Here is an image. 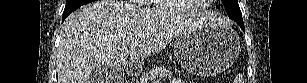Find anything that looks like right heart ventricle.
Here are the masks:
<instances>
[{"instance_id": "right-heart-ventricle-1", "label": "right heart ventricle", "mask_w": 307, "mask_h": 83, "mask_svg": "<svg viewBox=\"0 0 307 83\" xmlns=\"http://www.w3.org/2000/svg\"><path fill=\"white\" fill-rule=\"evenodd\" d=\"M168 6H169L168 0H167L166 3L164 1H158V0L153 2V7L156 8V9L165 10V9L168 8Z\"/></svg>"}]
</instances>
